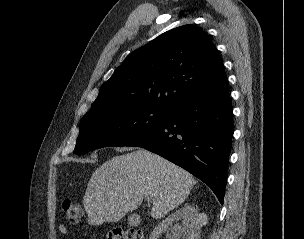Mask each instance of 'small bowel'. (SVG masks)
Instances as JSON below:
<instances>
[{"mask_svg":"<svg viewBox=\"0 0 304 239\" xmlns=\"http://www.w3.org/2000/svg\"><path fill=\"white\" fill-rule=\"evenodd\" d=\"M58 230H59L60 234H62V235H66L68 232L67 227L62 224L59 225Z\"/></svg>","mask_w":304,"mask_h":239,"instance_id":"small-bowel-1","label":"small bowel"}]
</instances>
